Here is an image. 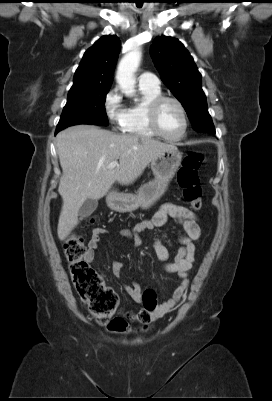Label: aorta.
Segmentation results:
<instances>
[{"label":"aorta","instance_id":"obj_1","mask_svg":"<svg viewBox=\"0 0 272 401\" xmlns=\"http://www.w3.org/2000/svg\"><path fill=\"white\" fill-rule=\"evenodd\" d=\"M141 51L134 48L128 52L120 61L116 73V80L119 87L126 96L133 97L135 95V72L140 64Z\"/></svg>","mask_w":272,"mask_h":401}]
</instances>
